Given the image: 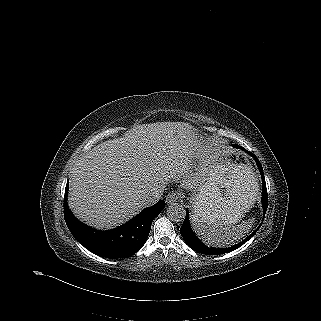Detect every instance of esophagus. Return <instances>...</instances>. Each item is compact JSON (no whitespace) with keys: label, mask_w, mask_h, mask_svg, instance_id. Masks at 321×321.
Here are the masks:
<instances>
[{"label":"esophagus","mask_w":321,"mask_h":321,"mask_svg":"<svg viewBox=\"0 0 321 321\" xmlns=\"http://www.w3.org/2000/svg\"><path fill=\"white\" fill-rule=\"evenodd\" d=\"M179 193L172 192L166 197V203L167 204H173L179 201Z\"/></svg>","instance_id":"obj_1"}]
</instances>
